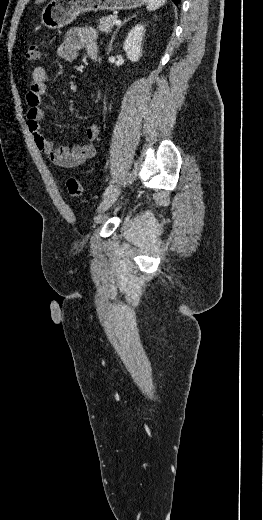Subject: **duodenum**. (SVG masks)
Masks as SVG:
<instances>
[{
	"label": "duodenum",
	"mask_w": 263,
	"mask_h": 520,
	"mask_svg": "<svg viewBox=\"0 0 263 520\" xmlns=\"http://www.w3.org/2000/svg\"><path fill=\"white\" fill-rule=\"evenodd\" d=\"M97 57H98V56H97L96 54H93V55L91 56V59H93V60H97Z\"/></svg>",
	"instance_id": "1"
}]
</instances>
